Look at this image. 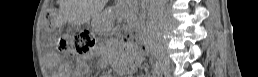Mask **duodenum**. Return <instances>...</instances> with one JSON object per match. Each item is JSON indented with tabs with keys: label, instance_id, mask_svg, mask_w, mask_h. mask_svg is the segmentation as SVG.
Wrapping results in <instances>:
<instances>
[{
	"label": "duodenum",
	"instance_id": "1",
	"mask_svg": "<svg viewBox=\"0 0 258 77\" xmlns=\"http://www.w3.org/2000/svg\"><path fill=\"white\" fill-rule=\"evenodd\" d=\"M144 40H145V43L147 44L149 50H151V46H150V43H149V39L146 37Z\"/></svg>",
	"mask_w": 258,
	"mask_h": 77
}]
</instances>
